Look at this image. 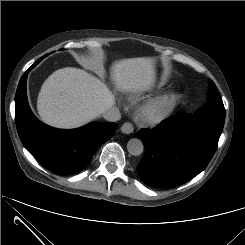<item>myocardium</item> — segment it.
<instances>
[{"instance_id": "obj_1", "label": "myocardium", "mask_w": 245, "mask_h": 245, "mask_svg": "<svg viewBox=\"0 0 245 245\" xmlns=\"http://www.w3.org/2000/svg\"><path fill=\"white\" fill-rule=\"evenodd\" d=\"M177 96L166 95L158 100L146 104L142 110L143 119L149 123H158L164 120L176 107Z\"/></svg>"}]
</instances>
